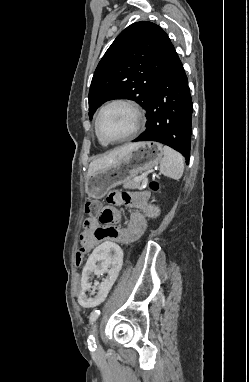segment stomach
<instances>
[{"mask_svg":"<svg viewBox=\"0 0 249 382\" xmlns=\"http://www.w3.org/2000/svg\"><path fill=\"white\" fill-rule=\"evenodd\" d=\"M163 148L157 142H140L116 164L93 173L87 178L85 190L89 197L100 199L127 178L152 169L162 160Z\"/></svg>","mask_w":249,"mask_h":382,"instance_id":"obj_1","label":"stomach"}]
</instances>
